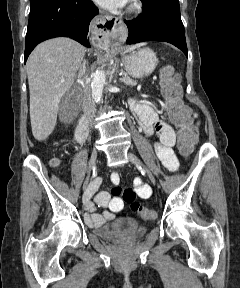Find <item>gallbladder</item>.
I'll return each mask as SVG.
<instances>
[{
    "mask_svg": "<svg viewBox=\"0 0 240 288\" xmlns=\"http://www.w3.org/2000/svg\"><path fill=\"white\" fill-rule=\"evenodd\" d=\"M60 106H61V108H63V106H64V103H63V101H62V104H61Z\"/></svg>",
    "mask_w": 240,
    "mask_h": 288,
    "instance_id": "1",
    "label": "gallbladder"
}]
</instances>
